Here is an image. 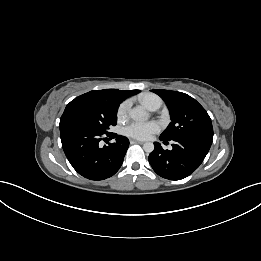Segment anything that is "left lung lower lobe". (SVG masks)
<instances>
[{
    "instance_id": "0a47b994",
    "label": "left lung lower lobe",
    "mask_w": 261,
    "mask_h": 261,
    "mask_svg": "<svg viewBox=\"0 0 261 261\" xmlns=\"http://www.w3.org/2000/svg\"><path fill=\"white\" fill-rule=\"evenodd\" d=\"M162 141H167L159 137ZM172 150H164L157 142L149 155V163L161 177L169 180H181L193 173L207 155L212 139L183 137L173 140Z\"/></svg>"
}]
</instances>
